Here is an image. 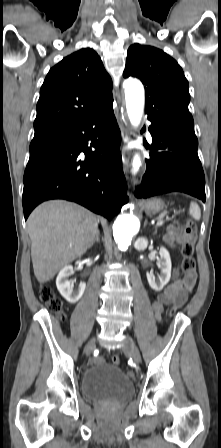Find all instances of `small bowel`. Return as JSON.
Returning a JSON list of instances; mask_svg holds the SVG:
<instances>
[{
  "mask_svg": "<svg viewBox=\"0 0 221 448\" xmlns=\"http://www.w3.org/2000/svg\"><path fill=\"white\" fill-rule=\"evenodd\" d=\"M164 241L172 248L183 243L185 240L184 235L180 231L172 226L163 236ZM196 273H192L190 276H179L177 270L174 271V280L163 290V292L152 302L151 309L155 314L157 320H161L162 312L165 305L171 303H179L183 305L188 294L193 290L196 283Z\"/></svg>",
  "mask_w": 221,
  "mask_h": 448,
  "instance_id": "1",
  "label": "small bowel"
}]
</instances>
